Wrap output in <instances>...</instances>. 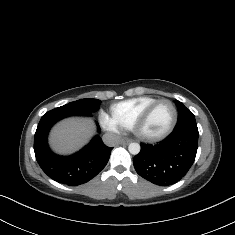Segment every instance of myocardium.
Wrapping results in <instances>:
<instances>
[{
	"label": "myocardium",
	"instance_id": "1",
	"mask_svg": "<svg viewBox=\"0 0 235 235\" xmlns=\"http://www.w3.org/2000/svg\"><path fill=\"white\" fill-rule=\"evenodd\" d=\"M162 102H168L173 106L174 109V116L173 119L169 125V127L166 129V131H164L161 134L158 135H144L142 133V129L143 127L148 123V121L151 118V115L153 113V111L155 110V108ZM177 120H178V109L176 104L168 99V98H160L155 100L146 110L145 112L134 122L133 126H132V132L134 134V136L137 138V140L141 141V142H145V143H155L158 141H161L165 138H167L168 136H170L172 134V132L175 129V126L177 124Z\"/></svg>",
	"mask_w": 235,
	"mask_h": 235
}]
</instances>
